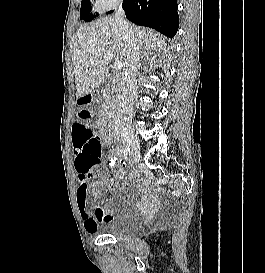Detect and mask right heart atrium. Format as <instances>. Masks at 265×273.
<instances>
[{
  "label": "right heart atrium",
  "mask_w": 265,
  "mask_h": 273,
  "mask_svg": "<svg viewBox=\"0 0 265 273\" xmlns=\"http://www.w3.org/2000/svg\"><path fill=\"white\" fill-rule=\"evenodd\" d=\"M122 0H94L93 5L97 11L108 10L119 5Z\"/></svg>",
  "instance_id": "right-heart-atrium-1"
}]
</instances>
